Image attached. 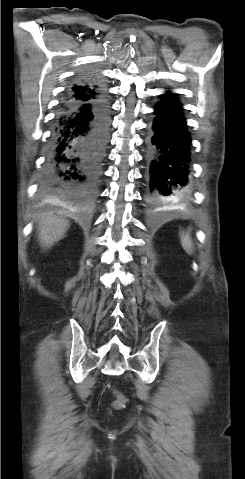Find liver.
Listing matches in <instances>:
<instances>
[{"label": "liver", "instance_id": "obj_1", "mask_svg": "<svg viewBox=\"0 0 245 479\" xmlns=\"http://www.w3.org/2000/svg\"><path fill=\"white\" fill-rule=\"evenodd\" d=\"M69 227V221L58 216L42 217L38 222V240L40 245L45 248H51L56 242L61 240Z\"/></svg>", "mask_w": 245, "mask_h": 479}]
</instances>
